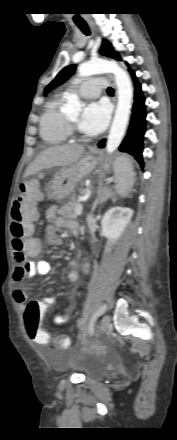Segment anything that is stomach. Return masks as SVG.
Masks as SVG:
<instances>
[{
  "label": "stomach",
  "mask_w": 177,
  "mask_h": 440,
  "mask_svg": "<svg viewBox=\"0 0 177 440\" xmlns=\"http://www.w3.org/2000/svg\"><path fill=\"white\" fill-rule=\"evenodd\" d=\"M97 162V157L87 154L75 164L60 168L45 189L48 198L60 201L68 197L77 183L94 169ZM126 162H129L126 158L117 160L120 166H123Z\"/></svg>",
  "instance_id": "stomach-1"
}]
</instances>
